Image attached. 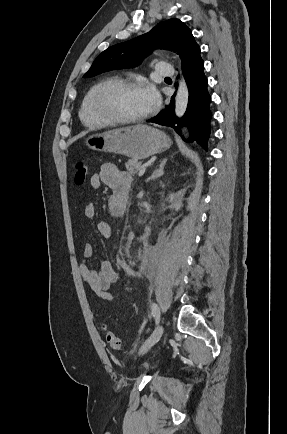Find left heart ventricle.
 Returning <instances> with one entry per match:
<instances>
[{
    "label": "left heart ventricle",
    "mask_w": 287,
    "mask_h": 434,
    "mask_svg": "<svg viewBox=\"0 0 287 434\" xmlns=\"http://www.w3.org/2000/svg\"><path fill=\"white\" fill-rule=\"evenodd\" d=\"M107 101L110 109L123 118L138 117L148 111L141 86L116 90L108 96Z\"/></svg>",
    "instance_id": "b2bd125f"
}]
</instances>
